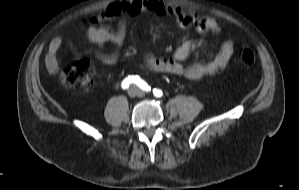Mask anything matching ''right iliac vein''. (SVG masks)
<instances>
[{"mask_svg": "<svg viewBox=\"0 0 299 190\" xmlns=\"http://www.w3.org/2000/svg\"><path fill=\"white\" fill-rule=\"evenodd\" d=\"M138 92L139 90L136 87H133L128 91V94L130 97H134L138 94Z\"/></svg>", "mask_w": 299, "mask_h": 190, "instance_id": "63e3f726", "label": "right iliac vein"}]
</instances>
